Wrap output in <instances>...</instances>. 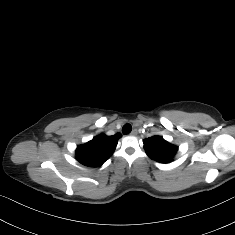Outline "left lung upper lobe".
I'll return each mask as SVG.
<instances>
[{
	"mask_svg": "<svg viewBox=\"0 0 235 235\" xmlns=\"http://www.w3.org/2000/svg\"><path fill=\"white\" fill-rule=\"evenodd\" d=\"M147 155L158 162H170L175 156L178 147L168 143L161 136H152L143 140Z\"/></svg>",
	"mask_w": 235,
	"mask_h": 235,
	"instance_id": "5c2ea615",
	"label": "left lung upper lobe"
}]
</instances>
